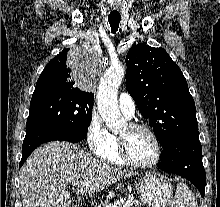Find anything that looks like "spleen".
Listing matches in <instances>:
<instances>
[{"label":"spleen","mask_w":220,"mask_h":207,"mask_svg":"<svg viewBox=\"0 0 220 207\" xmlns=\"http://www.w3.org/2000/svg\"><path fill=\"white\" fill-rule=\"evenodd\" d=\"M172 207H197L195 196L185 184H178Z\"/></svg>","instance_id":"spleen-1"}]
</instances>
